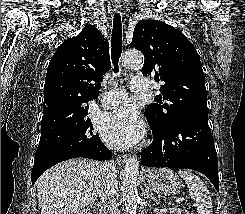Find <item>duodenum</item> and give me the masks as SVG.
I'll use <instances>...</instances> for the list:
<instances>
[{
  "label": "duodenum",
  "instance_id": "1",
  "mask_svg": "<svg viewBox=\"0 0 245 214\" xmlns=\"http://www.w3.org/2000/svg\"><path fill=\"white\" fill-rule=\"evenodd\" d=\"M87 214H101V211L97 206H91L88 209Z\"/></svg>",
  "mask_w": 245,
  "mask_h": 214
}]
</instances>
